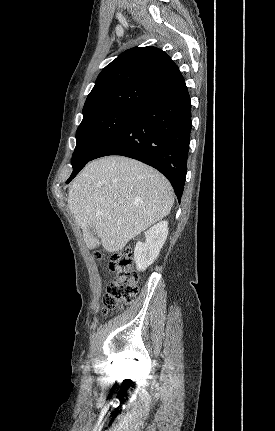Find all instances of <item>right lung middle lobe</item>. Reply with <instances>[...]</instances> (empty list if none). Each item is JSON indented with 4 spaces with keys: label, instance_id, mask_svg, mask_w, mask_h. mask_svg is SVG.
I'll use <instances>...</instances> for the list:
<instances>
[{
    "label": "right lung middle lobe",
    "instance_id": "obj_1",
    "mask_svg": "<svg viewBox=\"0 0 275 431\" xmlns=\"http://www.w3.org/2000/svg\"><path fill=\"white\" fill-rule=\"evenodd\" d=\"M137 109L113 108L84 116L76 132V148L71 164L73 175L79 172L92 156L110 140Z\"/></svg>",
    "mask_w": 275,
    "mask_h": 431
}]
</instances>
